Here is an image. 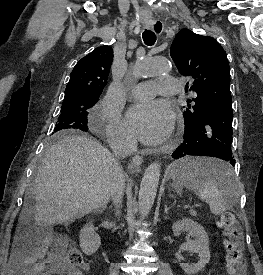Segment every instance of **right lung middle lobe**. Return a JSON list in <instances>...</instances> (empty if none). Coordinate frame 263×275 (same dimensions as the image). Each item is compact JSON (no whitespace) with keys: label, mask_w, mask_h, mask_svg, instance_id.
I'll list each match as a JSON object with an SVG mask.
<instances>
[{"label":"right lung middle lobe","mask_w":263,"mask_h":275,"mask_svg":"<svg viewBox=\"0 0 263 275\" xmlns=\"http://www.w3.org/2000/svg\"><path fill=\"white\" fill-rule=\"evenodd\" d=\"M98 100V96L79 95L65 98L61 107V114L58 123L52 134L54 139H58L66 130L79 129L87 131V115Z\"/></svg>","instance_id":"obj_1"}]
</instances>
